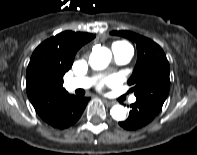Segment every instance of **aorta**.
I'll use <instances>...</instances> for the list:
<instances>
[{
	"label": "aorta",
	"mask_w": 197,
	"mask_h": 155,
	"mask_svg": "<svg viewBox=\"0 0 197 155\" xmlns=\"http://www.w3.org/2000/svg\"><path fill=\"white\" fill-rule=\"evenodd\" d=\"M111 51L108 48L101 47L94 49L89 57L90 66L95 70H101L108 66L111 61ZM127 110L122 105H114L110 110V115L116 121H123L126 118Z\"/></svg>",
	"instance_id": "aorta-1"
}]
</instances>
